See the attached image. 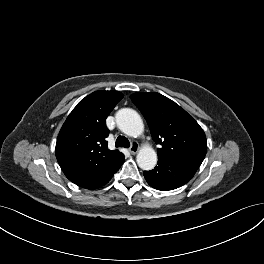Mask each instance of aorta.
<instances>
[{
    "instance_id": "1",
    "label": "aorta",
    "mask_w": 264,
    "mask_h": 264,
    "mask_svg": "<svg viewBox=\"0 0 264 264\" xmlns=\"http://www.w3.org/2000/svg\"><path fill=\"white\" fill-rule=\"evenodd\" d=\"M118 128L126 135L138 137L144 131L140 115L133 109L123 108L116 113ZM157 163V154L149 146L143 147L137 154V164L143 170H152Z\"/></svg>"
}]
</instances>
